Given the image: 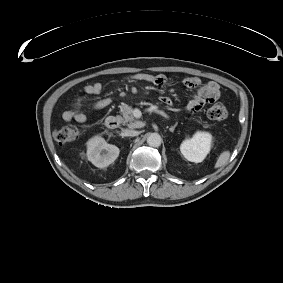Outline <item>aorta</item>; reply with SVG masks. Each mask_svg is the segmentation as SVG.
I'll list each match as a JSON object with an SVG mask.
<instances>
[{"mask_svg":"<svg viewBox=\"0 0 283 283\" xmlns=\"http://www.w3.org/2000/svg\"><path fill=\"white\" fill-rule=\"evenodd\" d=\"M162 143V138L158 133H150L147 137V144L151 147H159Z\"/></svg>","mask_w":283,"mask_h":283,"instance_id":"obj_1","label":"aorta"}]
</instances>
